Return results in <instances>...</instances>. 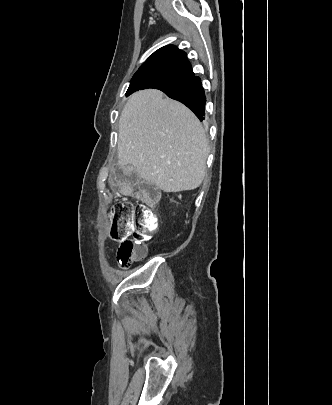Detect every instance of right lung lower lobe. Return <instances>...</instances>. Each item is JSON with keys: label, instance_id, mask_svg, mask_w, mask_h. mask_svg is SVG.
I'll return each instance as SVG.
<instances>
[{"label": "right lung lower lobe", "instance_id": "1", "mask_svg": "<svg viewBox=\"0 0 332 405\" xmlns=\"http://www.w3.org/2000/svg\"><path fill=\"white\" fill-rule=\"evenodd\" d=\"M160 90L170 98L186 105L194 112L200 121L204 120L206 96L199 77L193 76L176 85ZM131 93H133V91H128L126 96Z\"/></svg>", "mask_w": 332, "mask_h": 405}]
</instances>
